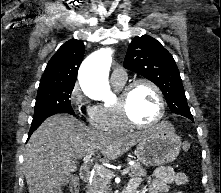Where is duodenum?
Masks as SVG:
<instances>
[{"label":"duodenum","mask_w":221,"mask_h":193,"mask_svg":"<svg viewBox=\"0 0 221 193\" xmlns=\"http://www.w3.org/2000/svg\"><path fill=\"white\" fill-rule=\"evenodd\" d=\"M79 174H80V178L83 181L88 182L92 177V169L90 166L85 165L81 168ZM121 193H135V191L128 188V189L123 190Z\"/></svg>","instance_id":"1"}]
</instances>
